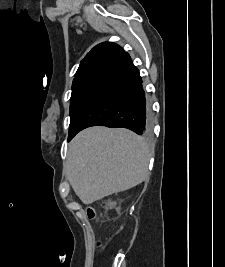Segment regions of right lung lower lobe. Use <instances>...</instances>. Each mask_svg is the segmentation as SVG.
<instances>
[{
	"label": "right lung lower lobe",
	"mask_w": 225,
	"mask_h": 267,
	"mask_svg": "<svg viewBox=\"0 0 225 267\" xmlns=\"http://www.w3.org/2000/svg\"><path fill=\"white\" fill-rule=\"evenodd\" d=\"M91 126L127 128L139 135L150 133L142 79L126 52L116 58L87 93L68 141Z\"/></svg>",
	"instance_id": "1"
}]
</instances>
